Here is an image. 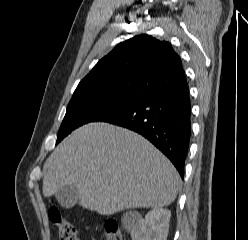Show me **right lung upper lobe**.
Returning <instances> with one entry per match:
<instances>
[{
    "mask_svg": "<svg viewBox=\"0 0 248 240\" xmlns=\"http://www.w3.org/2000/svg\"><path fill=\"white\" fill-rule=\"evenodd\" d=\"M186 81L182 62L170 43L149 35L118 44L79 83L82 88H111L144 97Z\"/></svg>",
    "mask_w": 248,
    "mask_h": 240,
    "instance_id": "1",
    "label": "right lung upper lobe"
}]
</instances>
